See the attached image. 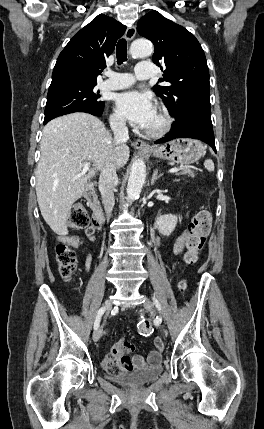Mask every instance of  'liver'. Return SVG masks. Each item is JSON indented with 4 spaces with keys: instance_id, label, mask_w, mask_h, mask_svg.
Wrapping results in <instances>:
<instances>
[{
    "instance_id": "liver-1",
    "label": "liver",
    "mask_w": 264,
    "mask_h": 429,
    "mask_svg": "<svg viewBox=\"0 0 264 429\" xmlns=\"http://www.w3.org/2000/svg\"><path fill=\"white\" fill-rule=\"evenodd\" d=\"M40 151L37 201L46 223L61 236L68 233V212L87 182L108 161L116 168L125 166L130 154L127 145L113 140L103 122L87 113L51 120L43 129ZM82 162H91L92 168L83 171Z\"/></svg>"
}]
</instances>
